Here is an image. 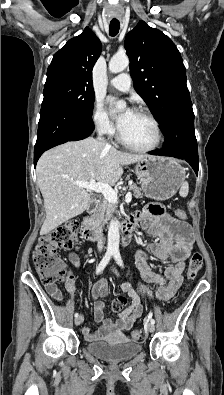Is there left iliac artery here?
Here are the masks:
<instances>
[{"label": "left iliac artery", "mask_w": 224, "mask_h": 395, "mask_svg": "<svg viewBox=\"0 0 224 395\" xmlns=\"http://www.w3.org/2000/svg\"><path fill=\"white\" fill-rule=\"evenodd\" d=\"M113 256H114V259L117 262V264L119 266L123 267V261H122V258H121L119 250H115L113 252ZM148 319L150 320L151 323H153V324L155 323V320L152 318V313L151 312L148 314Z\"/></svg>", "instance_id": "44dca946"}]
</instances>
